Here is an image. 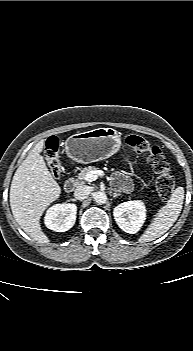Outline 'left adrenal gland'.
Listing matches in <instances>:
<instances>
[{
  "label": "left adrenal gland",
  "instance_id": "obj_1",
  "mask_svg": "<svg viewBox=\"0 0 193 351\" xmlns=\"http://www.w3.org/2000/svg\"><path fill=\"white\" fill-rule=\"evenodd\" d=\"M111 195H112L114 198H116V197L120 196L121 194H120V193H113V192H111Z\"/></svg>",
  "mask_w": 193,
  "mask_h": 351
}]
</instances>
